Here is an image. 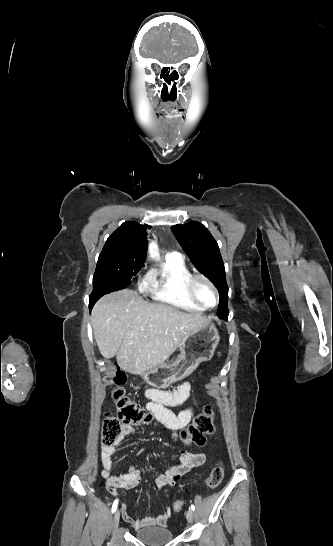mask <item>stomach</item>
<instances>
[{
	"instance_id": "0dacf381",
	"label": "stomach",
	"mask_w": 333,
	"mask_h": 546,
	"mask_svg": "<svg viewBox=\"0 0 333 546\" xmlns=\"http://www.w3.org/2000/svg\"><path fill=\"white\" fill-rule=\"evenodd\" d=\"M219 333L214 323L191 332L179 345L180 355L170 364H160L147 370L143 379L153 387L166 389L190 375L201 362L209 361L219 343Z\"/></svg>"
}]
</instances>
